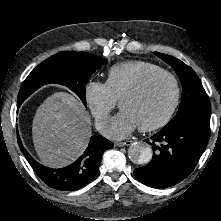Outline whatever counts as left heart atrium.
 <instances>
[{
	"mask_svg": "<svg viewBox=\"0 0 221 221\" xmlns=\"http://www.w3.org/2000/svg\"><path fill=\"white\" fill-rule=\"evenodd\" d=\"M138 127L135 118L126 110L120 111L101 124L102 132L114 139H122Z\"/></svg>",
	"mask_w": 221,
	"mask_h": 221,
	"instance_id": "39dd6f15",
	"label": "left heart atrium"
}]
</instances>
